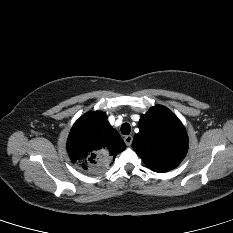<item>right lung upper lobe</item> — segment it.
Masks as SVG:
<instances>
[{
	"mask_svg": "<svg viewBox=\"0 0 233 233\" xmlns=\"http://www.w3.org/2000/svg\"><path fill=\"white\" fill-rule=\"evenodd\" d=\"M126 145L102 111L88 112L73 125L67 151L73 163L90 174L108 169Z\"/></svg>",
	"mask_w": 233,
	"mask_h": 233,
	"instance_id": "obj_1",
	"label": "right lung upper lobe"
}]
</instances>
